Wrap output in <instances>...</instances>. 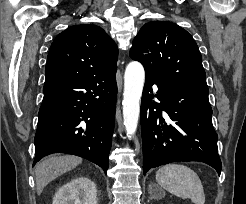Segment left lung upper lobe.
<instances>
[{"instance_id": "1", "label": "left lung upper lobe", "mask_w": 246, "mask_h": 204, "mask_svg": "<svg viewBox=\"0 0 246 204\" xmlns=\"http://www.w3.org/2000/svg\"><path fill=\"white\" fill-rule=\"evenodd\" d=\"M130 57L142 63L148 77L207 86L196 42L175 23L143 25L133 40Z\"/></svg>"}]
</instances>
